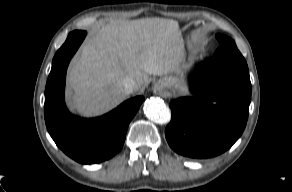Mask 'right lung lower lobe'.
<instances>
[{"instance_id": "right-lung-lower-lobe-1", "label": "right lung lower lobe", "mask_w": 292, "mask_h": 192, "mask_svg": "<svg viewBox=\"0 0 292 192\" xmlns=\"http://www.w3.org/2000/svg\"><path fill=\"white\" fill-rule=\"evenodd\" d=\"M85 36V31L71 32L56 52L45 89L44 115L48 132L56 145L75 161L93 164L120 151L128 125L144 98L129 99L98 118L83 119L69 113L64 102L66 70Z\"/></svg>"}]
</instances>
